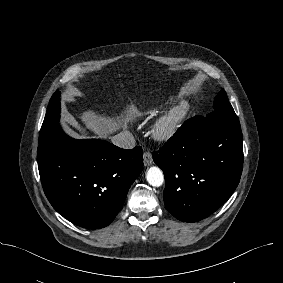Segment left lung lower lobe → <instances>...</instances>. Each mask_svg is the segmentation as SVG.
Segmentation results:
<instances>
[{
    "label": "left lung lower lobe",
    "instance_id": "left-lung-lower-lobe-1",
    "mask_svg": "<svg viewBox=\"0 0 283 283\" xmlns=\"http://www.w3.org/2000/svg\"><path fill=\"white\" fill-rule=\"evenodd\" d=\"M165 176L164 203L184 222L216 211L236 189L243 169L240 122L234 110L188 119L153 152Z\"/></svg>",
    "mask_w": 283,
    "mask_h": 283
}]
</instances>
